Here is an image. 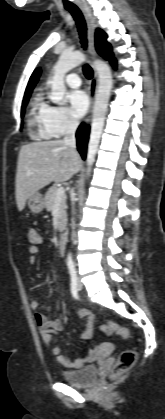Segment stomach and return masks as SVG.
<instances>
[{
	"instance_id": "stomach-1",
	"label": "stomach",
	"mask_w": 165,
	"mask_h": 419,
	"mask_svg": "<svg viewBox=\"0 0 165 419\" xmlns=\"http://www.w3.org/2000/svg\"><path fill=\"white\" fill-rule=\"evenodd\" d=\"M27 205L31 212L40 213L44 209L45 203L42 195L36 192L27 199Z\"/></svg>"
}]
</instances>
